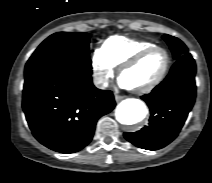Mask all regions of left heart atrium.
I'll return each instance as SVG.
<instances>
[{
    "label": "left heart atrium",
    "mask_w": 212,
    "mask_h": 183,
    "mask_svg": "<svg viewBox=\"0 0 212 183\" xmlns=\"http://www.w3.org/2000/svg\"><path fill=\"white\" fill-rule=\"evenodd\" d=\"M119 84H120V86L123 87V88H127V89L129 88V87L126 85V83H125L122 79H120Z\"/></svg>",
    "instance_id": "1"
}]
</instances>
